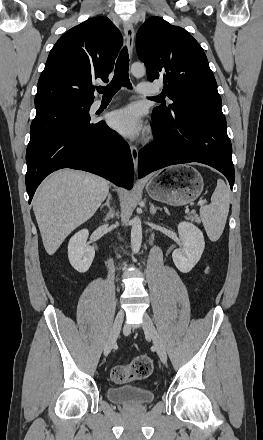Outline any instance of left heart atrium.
<instances>
[{
  "instance_id": "obj_1",
  "label": "left heart atrium",
  "mask_w": 263,
  "mask_h": 440,
  "mask_svg": "<svg viewBox=\"0 0 263 440\" xmlns=\"http://www.w3.org/2000/svg\"><path fill=\"white\" fill-rule=\"evenodd\" d=\"M109 125L121 135L130 138L138 136L144 128L141 111L134 105L112 112Z\"/></svg>"
}]
</instances>
